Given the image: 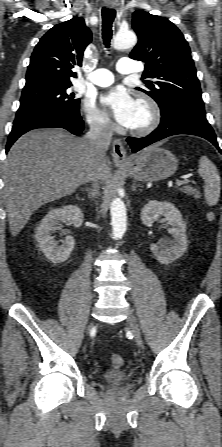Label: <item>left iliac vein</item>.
Instances as JSON below:
<instances>
[{
	"label": "left iliac vein",
	"mask_w": 222,
	"mask_h": 447,
	"mask_svg": "<svg viewBox=\"0 0 222 447\" xmlns=\"http://www.w3.org/2000/svg\"><path fill=\"white\" fill-rule=\"evenodd\" d=\"M127 323L132 331L135 341L140 348H143V341L141 337L140 327L136 317L132 314L131 310L128 312Z\"/></svg>",
	"instance_id": "obj_1"
}]
</instances>
